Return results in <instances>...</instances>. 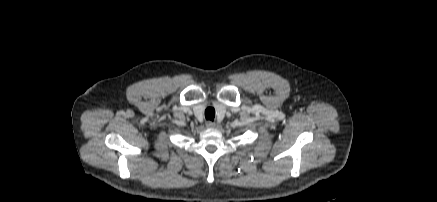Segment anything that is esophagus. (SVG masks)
<instances>
[{
    "instance_id": "esophagus-1",
    "label": "esophagus",
    "mask_w": 437,
    "mask_h": 202,
    "mask_svg": "<svg viewBox=\"0 0 437 202\" xmlns=\"http://www.w3.org/2000/svg\"><path fill=\"white\" fill-rule=\"evenodd\" d=\"M208 126H209V127H213V124H212V123H208Z\"/></svg>"
}]
</instances>
